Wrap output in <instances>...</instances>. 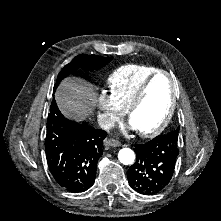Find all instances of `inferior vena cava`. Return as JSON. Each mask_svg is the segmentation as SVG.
Masks as SVG:
<instances>
[{"mask_svg":"<svg viewBox=\"0 0 221 221\" xmlns=\"http://www.w3.org/2000/svg\"><path fill=\"white\" fill-rule=\"evenodd\" d=\"M97 121L99 126L104 130H109L114 126V121L107 114H99Z\"/></svg>","mask_w":221,"mask_h":221,"instance_id":"1","label":"inferior vena cava"}]
</instances>
